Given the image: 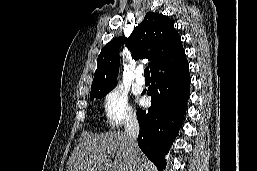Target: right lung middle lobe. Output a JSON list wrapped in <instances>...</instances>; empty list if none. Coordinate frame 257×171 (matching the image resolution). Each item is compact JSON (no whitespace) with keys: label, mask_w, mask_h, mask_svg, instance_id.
Instances as JSON below:
<instances>
[{"label":"right lung middle lobe","mask_w":257,"mask_h":171,"mask_svg":"<svg viewBox=\"0 0 257 171\" xmlns=\"http://www.w3.org/2000/svg\"><path fill=\"white\" fill-rule=\"evenodd\" d=\"M114 88V87H113ZM113 88L97 91V92H92L90 93V98H96V99H102L108 92H110Z\"/></svg>","instance_id":"obj_1"}]
</instances>
